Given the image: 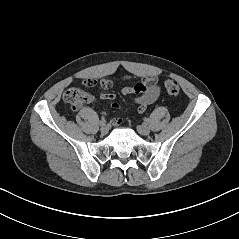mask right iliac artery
Instances as JSON below:
<instances>
[{
  "label": "right iliac artery",
  "instance_id": "obj_1",
  "mask_svg": "<svg viewBox=\"0 0 239 239\" xmlns=\"http://www.w3.org/2000/svg\"><path fill=\"white\" fill-rule=\"evenodd\" d=\"M106 123V119L105 118H102L101 120H100V125L102 126V125H104Z\"/></svg>",
  "mask_w": 239,
  "mask_h": 239
}]
</instances>
